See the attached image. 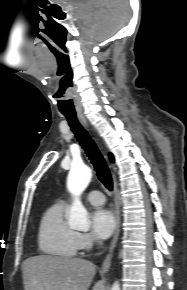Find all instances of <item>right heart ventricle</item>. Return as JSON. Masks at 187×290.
<instances>
[{
	"label": "right heart ventricle",
	"mask_w": 187,
	"mask_h": 290,
	"mask_svg": "<svg viewBox=\"0 0 187 290\" xmlns=\"http://www.w3.org/2000/svg\"><path fill=\"white\" fill-rule=\"evenodd\" d=\"M65 204L57 202L43 213L38 229L40 250L51 256L71 258L77 255V233L66 223Z\"/></svg>",
	"instance_id": "1"
}]
</instances>
